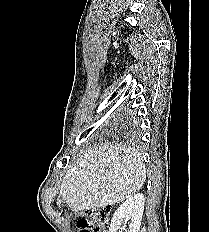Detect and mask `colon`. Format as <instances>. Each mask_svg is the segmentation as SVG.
Listing matches in <instances>:
<instances>
[{"instance_id": "obj_1", "label": "colon", "mask_w": 209, "mask_h": 232, "mask_svg": "<svg viewBox=\"0 0 209 232\" xmlns=\"http://www.w3.org/2000/svg\"><path fill=\"white\" fill-rule=\"evenodd\" d=\"M109 214L107 207L86 210L77 216L76 225L80 232H105Z\"/></svg>"}]
</instances>
